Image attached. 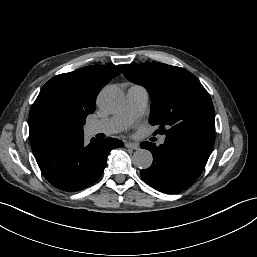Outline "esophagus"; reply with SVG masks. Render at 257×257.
<instances>
[{
	"instance_id": "obj_1",
	"label": "esophagus",
	"mask_w": 257,
	"mask_h": 257,
	"mask_svg": "<svg viewBox=\"0 0 257 257\" xmlns=\"http://www.w3.org/2000/svg\"><path fill=\"white\" fill-rule=\"evenodd\" d=\"M125 147L133 149V150H138L139 149V144L138 143H132V142H126Z\"/></svg>"
}]
</instances>
